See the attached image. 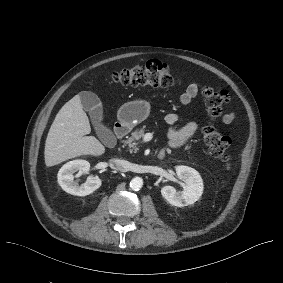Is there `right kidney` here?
<instances>
[{
  "instance_id": "right-kidney-1",
  "label": "right kidney",
  "mask_w": 283,
  "mask_h": 283,
  "mask_svg": "<svg viewBox=\"0 0 283 283\" xmlns=\"http://www.w3.org/2000/svg\"><path fill=\"white\" fill-rule=\"evenodd\" d=\"M87 174L90 171V163L85 160H73L64 164L58 172V183L61 188L72 195L86 196L93 193L101 186L99 178H89L85 183L78 185L74 182V173Z\"/></svg>"
}]
</instances>
